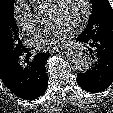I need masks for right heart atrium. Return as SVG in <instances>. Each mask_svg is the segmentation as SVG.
Masks as SVG:
<instances>
[{
    "label": "right heart atrium",
    "instance_id": "right-heart-atrium-1",
    "mask_svg": "<svg viewBox=\"0 0 113 113\" xmlns=\"http://www.w3.org/2000/svg\"><path fill=\"white\" fill-rule=\"evenodd\" d=\"M13 20L22 33L35 29V20L29 5L24 0H16L12 7Z\"/></svg>",
    "mask_w": 113,
    "mask_h": 113
}]
</instances>
